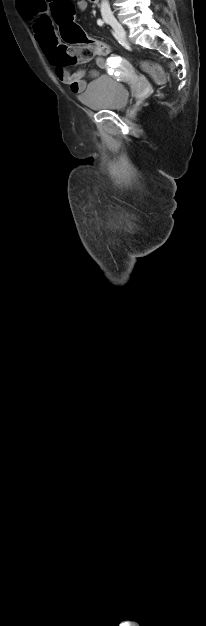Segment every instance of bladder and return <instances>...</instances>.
<instances>
[{"label": "bladder", "instance_id": "bladder-1", "mask_svg": "<svg viewBox=\"0 0 206 626\" xmlns=\"http://www.w3.org/2000/svg\"><path fill=\"white\" fill-rule=\"evenodd\" d=\"M79 98L91 109L119 110L128 104L129 92L124 84L104 75L91 81Z\"/></svg>", "mask_w": 206, "mask_h": 626}]
</instances>
